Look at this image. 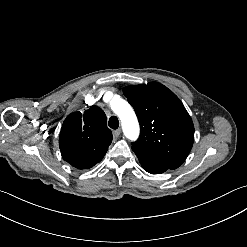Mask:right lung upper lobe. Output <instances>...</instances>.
<instances>
[{
	"label": "right lung upper lobe",
	"instance_id": "right-lung-upper-lobe-1",
	"mask_svg": "<svg viewBox=\"0 0 247 247\" xmlns=\"http://www.w3.org/2000/svg\"><path fill=\"white\" fill-rule=\"evenodd\" d=\"M112 142L105 113L90 106L83 114L74 112L65 119L59 146L65 161L77 169H89L99 163Z\"/></svg>",
	"mask_w": 247,
	"mask_h": 247
}]
</instances>
